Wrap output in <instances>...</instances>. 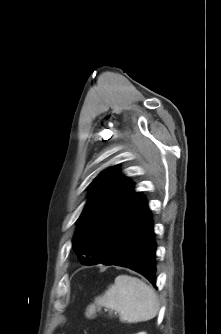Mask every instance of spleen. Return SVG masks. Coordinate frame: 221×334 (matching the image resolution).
<instances>
[{
  "label": "spleen",
  "mask_w": 221,
  "mask_h": 334,
  "mask_svg": "<svg viewBox=\"0 0 221 334\" xmlns=\"http://www.w3.org/2000/svg\"><path fill=\"white\" fill-rule=\"evenodd\" d=\"M100 307L117 312L122 322L137 323L153 319L159 311V301L154 289L139 278L119 275L103 295L95 298L86 316L93 317Z\"/></svg>",
  "instance_id": "1"
}]
</instances>
